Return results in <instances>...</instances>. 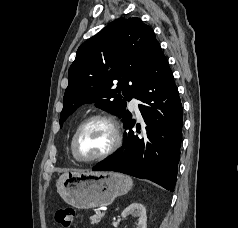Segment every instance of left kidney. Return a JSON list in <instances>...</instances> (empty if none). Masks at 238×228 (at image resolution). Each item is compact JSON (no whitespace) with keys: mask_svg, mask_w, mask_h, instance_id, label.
<instances>
[{"mask_svg":"<svg viewBox=\"0 0 238 228\" xmlns=\"http://www.w3.org/2000/svg\"><path fill=\"white\" fill-rule=\"evenodd\" d=\"M129 215L139 218L137 228H147L146 208L141 203L134 202L130 204L121 214L122 218Z\"/></svg>","mask_w":238,"mask_h":228,"instance_id":"5707ae66","label":"left kidney"}]
</instances>
